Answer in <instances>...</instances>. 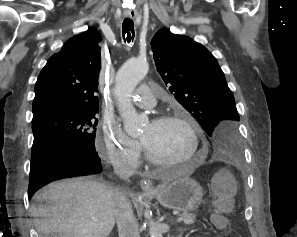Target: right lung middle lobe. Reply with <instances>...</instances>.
<instances>
[{"label": "right lung middle lobe", "mask_w": 297, "mask_h": 237, "mask_svg": "<svg viewBox=\"0 0 297 237\" xmlns=\"http://www.w3.org/2000/svg\"><path fill=\"white\" fill-rule=\"evenodd\" d=\"M96 112H56L32 122V150L50 141H70L95 149Z\"/></svg>", "instance_id": "right-lung-middle-lobe-1"}]
</instances>
